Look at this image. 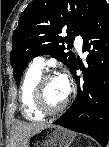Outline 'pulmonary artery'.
<instances>
[{"label":"pulmonary artery","instance_id":"pulmonary-artery-1","mask_svg":"<svg viewBox=\"0 0 109 147\" xmlns=\"http://www.w3.org/2000/svg\"><path fill=\"white\" fill-rule=\"evenodd\" d=\"M75 46L78 52L82 53L83 38L78 36L75 41ZM31 67L37 70H43L45 67V58L43 56H37L31 61Z\"/></svg>","mask_w":109,"mask_h":147}]
</instances>
